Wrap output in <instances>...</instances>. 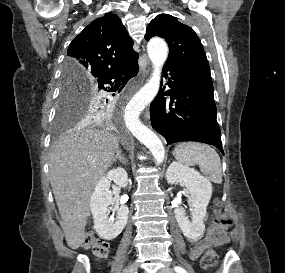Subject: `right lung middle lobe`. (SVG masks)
Returning <instances> with one entry per match:
<instances>
[{
    "mask_svg": "<svg viewBox=\"0 0 285 273\" xmlns=\"http://www.w3.org/2000/svg\"><path fill=\"white\" fill-rule=\"evenodd\" d=\"M105 101L97 94V88L73 74L63 71L59 107L56 119L58 128L65 127L72 121L91 117L100 118Z\"/></svg>",
    "mask_w": 285,
    "mask_h": 273,
    "instance_id": "obj_1",
    "label": "right lung middle lobe"
}]
</instances>
